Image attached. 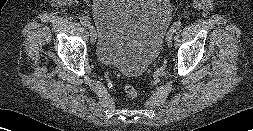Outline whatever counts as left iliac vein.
Returning a JSON list of instances; mask_svg holds the SVG:
<instances>
[{"label":"left iliac vein","mask_w":253,"mask_h":131,"mask_svg":"<svg viewBox=\"0 0 253 131\" xmlns=\"http://www.w3.org/2000/svg\"><path fill=\"white\" fill-rule=\"evenodd\" d=\"M174 33H175V31L172 28L167 32L166 42H167L168 47H171V45H172Z\"/></svg>","instance_id":"1"}]
</instances>
